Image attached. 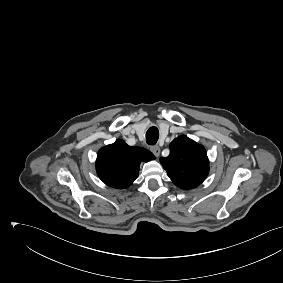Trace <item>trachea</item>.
<instances>
[{
	"label": "trachea",
	"instance_id": "1",
	"mask_svg": "<svg viewBox=\"0 0 283 283\" xmlns=\"http://www.w3.org/2000/svg\"><path fill=\"white\" fill-rule=\"evenodd\" d=\"M159 138V131L156 127H151L146 132V142L149 145H155Z\"/></svg>",
	"mask_w": 283,
	"mask_h": 283
}]
</instances>
